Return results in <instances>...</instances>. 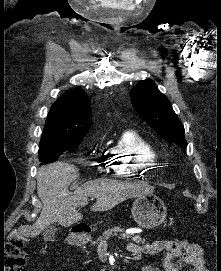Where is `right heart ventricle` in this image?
Here are the masks:
<instances>
[{
  "label": "right heart ventricle",
  "instance_id": "obj_1",
  "mask_svg": "<svg viewBox=\"0 0 221 271\" xmlns=\"http://www.w3.org/2000/svg\"><path fill=\"white\" fill-rule=\"evenodd\" d=\"M117 147L122 151L132 154H115V158H108V163L124 164L114 166L111 164L114 176H121L122 179H140V176H148L145 169L151 168V164L158 162L159 152L155 144L145 138H120Z\"/></svg>",
  "mask_w": 221,
  "mask_h": 271
}]
</instances>
